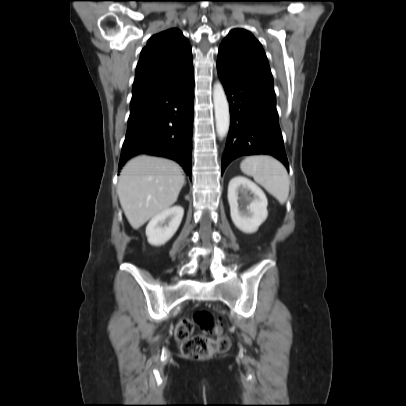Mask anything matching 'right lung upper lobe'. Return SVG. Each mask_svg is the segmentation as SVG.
<instances>
[{
  "mask_svg": "<svg viewBox=\"0 0 406 406\" xmlns=\"http://www.w3.org/2000/svg\"><path fill=\"white\" fill-rule=\"evenodd\" d=\"M193 70L188 40L176 28L152 36L140 54L131 104L181 80Z\"/></svg>",
  "mask_w": 406,
  "mask_h": 406,
  "instance_id": "1",
  "label": "right lung upper lobe"
}]
</instances>
